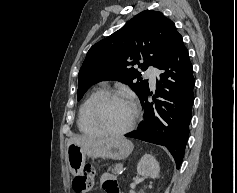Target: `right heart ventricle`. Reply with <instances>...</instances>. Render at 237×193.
<instances>
[{
  "label": "right heart ventricle",
  "instance_id": "e07e8e85",
  "mask_svg": "<svg viewBox=\"0 0 237 193\" xmlns=\"http://www.w3.org/2000/svg\"><path fill=\"white\" fill-rule=\"evenodd\" d=\"M104 92L103 89H97L91 92L88 97L84 100L82 105L80 106L79 113H78V128L80 132L87 136L98 137L101 136L95 128L92 126L90 119H89V110L94 102V100Z\"/></svg>",
  "mask_w": 237,
  "mask_h": 193
}]
</instances>
